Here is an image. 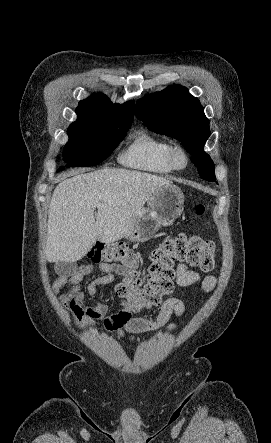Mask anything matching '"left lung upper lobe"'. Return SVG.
Wrapping results in <instances>:
<instances>
[{
  "label": "left lung upper lobe",
  "instance_id": "left-lung-upper-lobe-1",
  "mask_svg": "<svg viewBox=\"0 0 271 443\" xmlns=\"http://www.w3.org/2000/svg\"><path fill=\"white\" fill-rule=\"evenodd\" d=\"M136 116L151 131L181 141L202 179L216 182L214 164L204 152L210 130L203 107L186 87L172 85L136 103Z\"/></svg>",
  "mask_w": 271,
  "mask_h": 443
}]
</instances>
